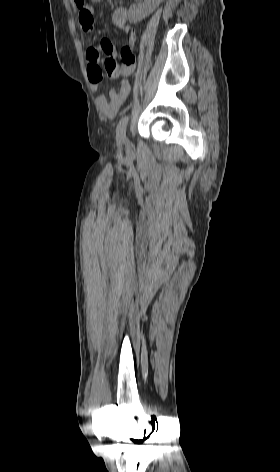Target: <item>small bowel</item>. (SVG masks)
Here are the masks:
<instances>
[{"label": "small bowel", "mask_w": 280, "mask_h": 472, "mask_svg": "<svg viewBox=\"0 0 280 472\" xmlns=\"http://www.w3.org/2000/svg\"><path fill=\"white\" fill-rule=\"evenodd\" d=\"M102 0H92V2L99 3ZM74 3L79 12V23L81 28L90 32L94 28L93 8L86 2V0H74ZM112 21L115 26L120 28L123 32L128 34V43L132 46L136 43V34L131 26L128 24V10L124 6L117 7L112 14ZM100 55H104L105 60L117 59V52L111 40L104 38L101 40L99 46H90L86 51V59L88 61V78L91 83L93 91H97L99 84L103 77V71L100 66ZM135 65H125L118 67L119 76L122 78L120 85L117 88H111L109 96L99 95L96 98V103L100 110L108 118H113L120 107L126 100L130 92V83L128 77L134 72Z\"/></svg>", "instance_id": "c3829d8e"}]
</instances>
